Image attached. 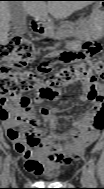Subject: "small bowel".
<instances>
[{
    "label": "small bowel",
    "instance_id": "obj_1",
    "mask_svg": "<svg viewBox=\"0 0 104 189\" xmlns=\"http://www.w3.org/2000/svg\"><path fill=\"white\" fill-rule=\"evenodd\" d=\"M79 101L91 102V111L83 114L65 133L43 134L30 103L22 105L1 99L0 119L15 151L23 158L27 171L42 175L58 170L81 157L85 148L95 142L104 126L102 89L92 78L84 80ZM42 123L56 126L57 110L43 109Z\"/></svg>",
    "mask_w": 104,
    "mask_h": 189
}]
</instances>
